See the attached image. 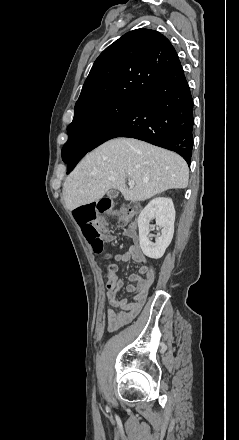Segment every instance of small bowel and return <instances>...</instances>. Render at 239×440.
<instances>
[{"label": "small bowel", "instance_id": "1", "mask_svg": "<svg viewBox=\"0 0 239 440\" xmlns=\"http://www.w3.org/2000/svg\"><path fill=\"white\" fill-rule=\"evenodd\" d=\"M117 262H126L130 259L140 264L137 274L128 277L126 291L133 296L130 302L126 297L119 295L123 282L118 278L116 271L108 277L107 298L111 308L106 312L107 329L110 332L116 331L122 326L130 323L140 312L144 305L148 292L155 280V270L148 263L137 245H132L127 251L115 255Z\"/></svg>", "mask_w": 239, "mask_h": 440}]
</instances>
